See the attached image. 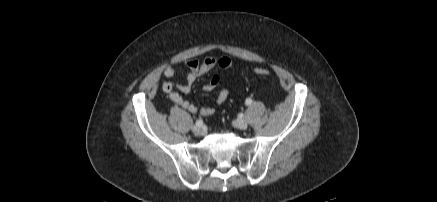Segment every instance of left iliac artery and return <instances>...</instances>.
I'll use <instances>...</instances> for the list:
<instances>
[{"instance_id": "left-iliac-artery-1", "label": "left iliac artery", "mask_w": 437, "mask_h": 202, "mask_svg": "<svg viewBox=\"0 0 437 202\" xmlns=\"http://www.w3.org/2000/svg\"><path fill=\"white\" fill-rule=\"evenodd\" d=\"M246 105H251L252 104V99L251 98H247L245 101Z\"/></svg>"}]
</instances>
